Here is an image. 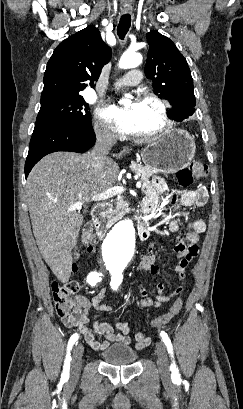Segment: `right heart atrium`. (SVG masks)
I'll return each instance as SVG.
<instances>
[{
    "mask_svg": "<svg viewBox=\"0 0 243 409\" xmlns=\"http://www.w3.org/2000/svg\"><path fill=\"white\" fill-rule=\"evenodd\" d=\"M95 136L103 142H113L116 138L115 133L102 119L97 118L93 125Z\"/></svg>",
    "mask_w": 243,
    "mask_h": 409,
    "instance_id": "obj_1",
    "label": "right heart atrium"
}]
</instances>
